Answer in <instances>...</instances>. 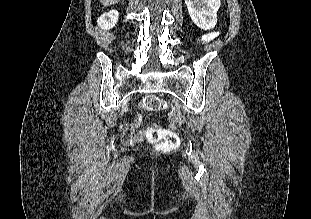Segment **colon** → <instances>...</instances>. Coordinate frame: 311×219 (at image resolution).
I'll use <instances>...</instances> for the list:
<instances>
[{
  "instance_id": "colon-1",
  "label": "colon",
  "mask_w": 311,
  "mask_h": 219,
  "mask_svg": "<svg viewBox=\"0 0 311 219\" xmlns=\"http://www.w3.org/2000/svg\"><path fill=\"white\" fill-rule=\"evenodd\" d=\"M141 107L147 111H158L165 107L163 101L156 95H147L141 102ZM147 139L159 149L167 151L178 144L175 132L151 126L146 131Z\"/></svg>"
}]
</instances>
